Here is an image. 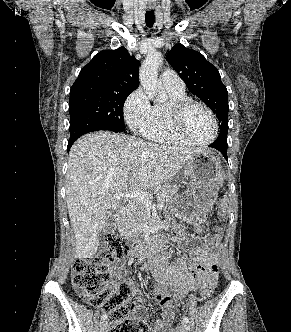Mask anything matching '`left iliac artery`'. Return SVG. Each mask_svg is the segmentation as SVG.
I'll return each instance as SVG.
<instances>
[{
    "label": "left iliac artery",
    "mask_w": 291,
    "mask_h": 332,
    "mask_svg": "<svg viewBox=\"0 0 291 332\" xmlns=\"http://www.w3.org/2000/svg\"><path fill=\"white\" fill-rule=\"evenodd\" d=\"M183 321H184L185 323H189V319H188V317H187V316H184V317H183Z\"/></svg>",
    "instance_id": "obj_1"
}]
</instances>
